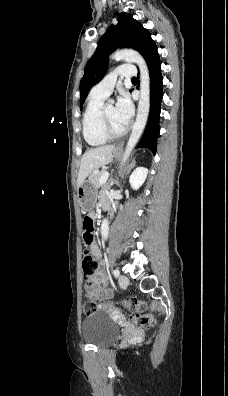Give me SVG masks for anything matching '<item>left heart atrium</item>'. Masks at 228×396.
<instances>
[{
  "instance_id": "1",
  "label": "left heart atrium",
  "mask_w": 228,
  "mask_h": 396,
  "mask_svg": "<svg viewBox=\"0 0 228 396\" xmlns=\"http://www.w3.org/2000/svg\"><path fill=\"white\" fill-rule=\"evenodd\" d=\"M116 117L124 126L128 124L133 114V105L126 93H121L115 106Z\"/></svg>"
}]
</instances>
